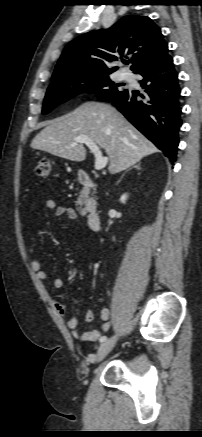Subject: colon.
Instances as JSON below:
<instances>
[{
    "mask_svg": "<svg viewBox=\"0 0 202 437\" xmlns=\"http://www.w3.org/2000/svg\"><path fill=\"white\" fill-rule=\"evenodd\" d=\"M36 174L40 177H48L51 172L50 161L47 158H42L36 165Z\"/></svg>",
    "mask_w": 202,
    "mask_h": 437,
    "instance_id": "5ec220e1",
    "label": "colon"
}]
</instances>
